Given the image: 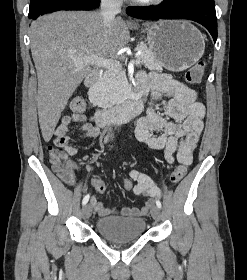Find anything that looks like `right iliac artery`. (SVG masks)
Instances as JSON below:
<instances>
[{"label":"right iliac artery","instance_id":"82829eb1","mask_svg":"<svg viewBox=\"0 0 247 280\" xmlns=\"http://www.w3.org/2000/svg\"><path fill=\"white\" fill-rule=\"evenodd\" d=\"M89 198H90V195H89V194H87V195L83 198V200H82V204H83V205H86V204H87V202L89 201Z\"/></svg>","mask_w":247,"mask_h":280}]
</instances>
